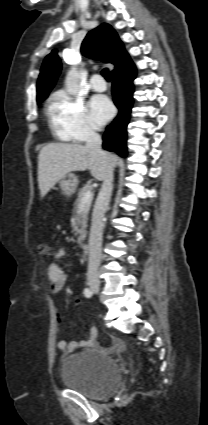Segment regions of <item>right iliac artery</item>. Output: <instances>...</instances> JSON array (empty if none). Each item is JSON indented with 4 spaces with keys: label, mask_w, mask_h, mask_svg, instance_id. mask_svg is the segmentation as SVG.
<instances>
[{
    "label": "right iliac artery",
    "mask_w": 208,
    "mask_h": 425,
    "mask_svg": "<svg viewBox=\"0 0 208 425\" xmlns=\"http://www.w3.org/2000/svg\"><path fill=\"white\" fill-rule=\"evenodd\" d=\"M84 296L87 297V298H91L92 291L89 288H85L84 289Z\"/></svg>",
    "instance_id": "1"
}]
</instances>
